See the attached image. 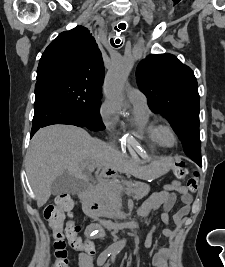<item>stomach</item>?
Masks as SVG:
<instances>
[{
  "label": "stomach",
  "mask_w": 225,
  "mask_h": 267,
  "mask_svg": "<svg viewBox=\"0 0 225 267\" xmlns=\"http://www.w3.org/2000/svg\"><path fill=\"white\" fill-rule=\"evenodd\" d=\"M169 170V160L163 159L154 163L151 167V172L148 174L147 178H156Z\"/></svg>",
  "instance_id": "1"
}]
</instances>
